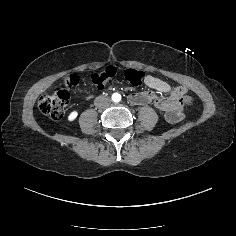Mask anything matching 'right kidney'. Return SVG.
<instances>
[{"mask_svg":"<svg viewBox=\"0 0 236 236\" xmlns=\"http://www.w3.org/2000/svg\"><path fill=\"white\" fill-rule=\"evenodd\" d=\"M78 116V112L77 111H73L70 113V115L68 116V120L69 121H73L76 119V117Z\"/></svg>","mask_w":236,"mask_h":236,"instance_id":"ca27d5eb","label":"right kidney"}]
</instances>
